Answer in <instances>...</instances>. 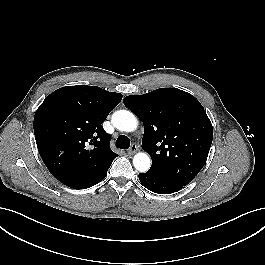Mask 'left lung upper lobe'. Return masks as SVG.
I'll return each instance as SVG.
<instances>
[{
	"instance_id": "obj_1",
	"label": "left lung upper lobe",
	"mask_w": 265,
	"mask_h": 265,
	"mask_svg": "<svg viewBox=\"0 0 265 265\" xmlns=\"http://www.w3.org/2000/svg\"><path fill=\"white\" fill-rule=\"evenodd\" d=\"M123 102L144 124L142 148L152 158L148 171L186 186L204 166L213 139L201 103L177 88L126 96Z\"/></svg>"
}]
</instances>
